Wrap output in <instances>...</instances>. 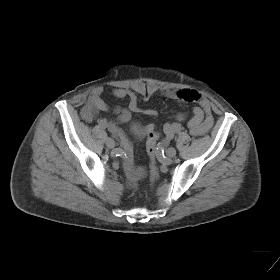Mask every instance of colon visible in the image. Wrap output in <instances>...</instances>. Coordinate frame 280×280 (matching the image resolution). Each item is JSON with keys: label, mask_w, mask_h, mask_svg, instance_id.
Here are the masks:
<instances>
[{"label": "colon", "mask_w": 280, "mask_h": 280, "mask_svg": "<svg viewBox=\"0 0 280 280\" xmlns=\"http://www.w3.org/2000/svg\"><path fill=\"white\" fill-rule=\"evenodd\" d=\"M183 118V115H178L176 119L180 120ZM159 139V132L150 131L148 133L147 142H146V150L150 160V168H149V176L153 181L157 177V166H156V158L158 154L157 142Z\"/></svg>", "instance_id": "5ec220e1"}]
</instances>
